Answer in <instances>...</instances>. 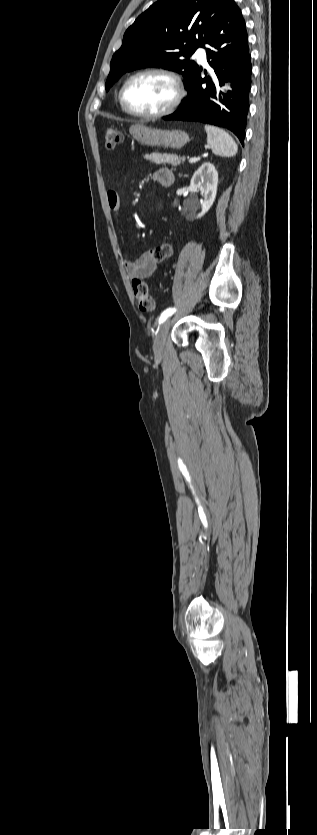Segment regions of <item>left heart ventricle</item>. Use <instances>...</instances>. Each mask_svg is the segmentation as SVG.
Listing matches in <instances>:
<instances>
[{
	"label": "left heart ventricle",
	"mask_w": 317,
	"mask_h": 835,
	"mask_svg": "<svg viewBox=\"0 0 317 835\" xmlns=\"http://www.w3.org/2000/svg\"><path fill=\"white\" fill-rule=\"evenodd\" d=\"M175 96L172 82L161 75L137 77L125 90V99L135 111L155 113L164 109Z\"/></svg>",
	"instance_id": "1"
}]
</instances>
